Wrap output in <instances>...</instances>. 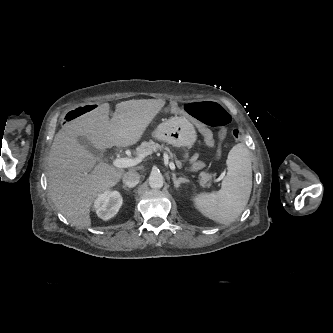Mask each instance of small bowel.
I'll return each instance as SVG.
<instances>
[{
	"label": "small bowel",
	"mask_w": 333,
	"mask_h": 333,
	"mask_svg": "<svg viewBox=\"0 0 333 333\" xmlns=\"http://www.w3.org/2000/svg\"><path fill=\"white\" fill-rule=\"evenodd\" d=\"M171 111H173L175 114L177 115H181L182 117L185 118V120H187L188 122H190L193 126L197 127V129L199 131H201L204 136H206V140L208 143H210V148H215V143H213V138L209 132V130H207V128H205V126H203L202 124L199 123L198 120L194 119V117H192L191 115L187 114L186 111L179 109V107H177L175 104H169L168 106H165L164 108H158L157 109V114L158 115H167L168 113H170ZM190 165L192 170H200L203 166L202 162L198 160L197 156L194 155L192 156L191 160H190Z\"/></svg>",
	"instance_id": "1"
}]
</instances>
